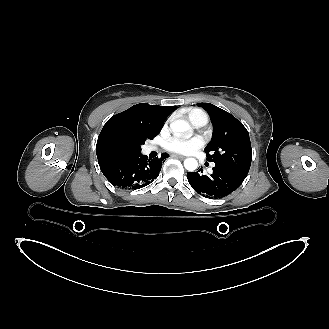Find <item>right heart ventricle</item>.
<instances>
[{"label": "right heart ventricle", "instance_id": "obj_1", "mask_svg": "<svg viewBox=\"0 0 329 329\" xmlns=\"http://www.w3.org/2000/svg\"><path fill=\"white\" fill-rule=\"evenodd\" d=\"M188 119L191 123H195L200 119L208 120L207 114L201 109H193L188 113Z\"/></svg>", "mask_w": 329, "mask_h": 329}]
</instances>
